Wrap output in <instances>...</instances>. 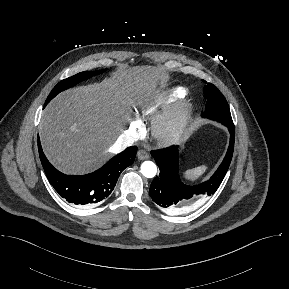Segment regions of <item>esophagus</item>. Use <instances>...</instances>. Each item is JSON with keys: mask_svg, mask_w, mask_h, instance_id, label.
<instances>
[{"mask_svg": "<svg viewBox=\"0 0 289 289\" xmlns=\"http://www.w3.org/2000/svg\"><path fill=\"white\" fill-rule=\"evenodd\" d=\"M137 157L139 160H145L149 158V154L147 151L141 149L138 151Z\"/></svg>", "mask_w": 289, "mask_h": 289, "instance_id": "34e87169", "label": "esophagus"}]
</instances>
